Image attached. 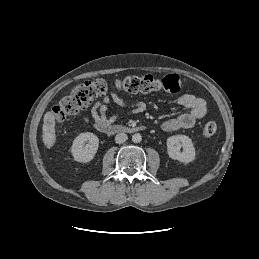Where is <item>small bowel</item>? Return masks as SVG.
Segmentation results:
<instances>
[{
	"label": "small bowel",
	"instance_id": "obj_1",
	"mask_svg": "<svg viewBox=\"0 0 259 259\" xmlns=\"http://www.w3.org/2000/svg\"><path fill=\"white\" fill-rule=\"evenodd\" d=\"M111 101L122 108H129V111L125 113H137L142 109L140 104L128 105V103L120 98L115 92H111L110 96H105L103 99L95 102L91 107L90 115L95 125L111 124L122 116L123 113L109 114L108 108ZM175 102L184 107L187 112L163 122L161 129L165 132L191 129L197 120L202 119L206 115V102L198 96L193 94H183L178 96L175 99ZM83 120L85 122H89V118L87 117H84Z\"/></svg>",
	"mask_w": 259,
	"mask_h": 259
}]
</instances>
